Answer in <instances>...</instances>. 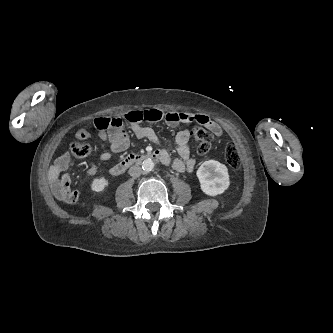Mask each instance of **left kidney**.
Masks as SVG:
<instances>
[{
	"mask_svg": "<svg viewBox=\"0 0 333 333\" xmlns=\"http://www.w3.org/2000/svg\"><path fill=\"white\" fill-rule=\"evenodd\" d=\"M201 190L209 195L222 194L229 187L228 169L216 160L205 161L197 170Z\"/></svg>",
	"mask_w": 333,
	"mask_h": 333,
	"instance_id": "obj_1",
	"label": "left kidney"
}]
</instances>
